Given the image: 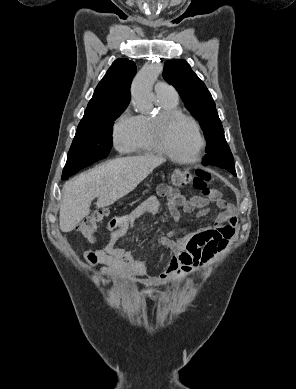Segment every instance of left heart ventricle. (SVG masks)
<instances>
[{"label": "left heart ventricle", "instance_id": "b2bd125f", "mask_svg": "<svg viewBox=\"0 0 296 389\" xmlns=\"http://www.w3.org/2000/svg\"><path fill=\"white\" fill-rule=\"evenodd\" d=\"M167 144L178 157H192L198 147V137L194 126L185 119L174 121L167 132Z\"/></svg>", "mask_w": 296, "mask_h": 389}]
</instances>
